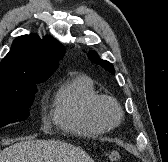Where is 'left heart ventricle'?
<instances>
[{"label":"left heart ventricle","mask_w":168,"mask_h":162,"mask_svg":"<svg viewBox=\"0 0 168 162\" xmlns=\"http://www.w3.org/2000/svg\"><path fill=\"white\" fill-rule=\"evenodd\" d=\"M106 113H107V115H109V116H114V110H113V108L112 107H107L106 108Z\"/></svg>","instance_id":"b2bd125f"}]
</instances>
